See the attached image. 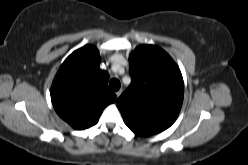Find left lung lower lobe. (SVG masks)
Wrapping results in <instances>:
<instances>
[{
  "instance_id": "left-lung-lower-lobe-1",
  "label": "left lung lower lobe",
  "mask_w": 248,
  "mask_h": 165,
  "mask_svg": "<svg viewBox=\"0 0 248 165\" xmlns=\"http://www.w3.org/2000/svg\"><path fill=\"white\" fill-rule=\"evenodd\" d=\"M135 134L137 135H140V136H149V135H146V134H143L142 132H139V131H135V130H132Z\"/></svg>"
}]
</instances>
